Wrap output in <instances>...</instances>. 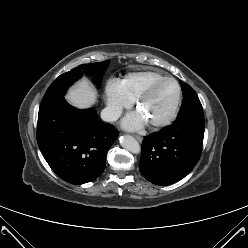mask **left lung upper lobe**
<instances>
[{
  "label": "left lung upper lobe",
  "instance_id": "obj_1",
  "mask_svg": "<svg viewBox=\"0 0 248 248\" xmlns=\"http://www.w3.org/2000/svg\"><path fill=\"white\" fill-rule=\"evenodd\" d=\"M183 92V104L177 119H188L203 114L201 102L195 91L183 81H180Z\"/></svg>",
  "mask_w": 248,
  "mask_h": 248
}]
</instances>
